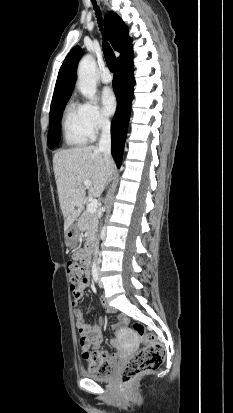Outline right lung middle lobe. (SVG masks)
<instances>
[{
    "label": "right lung middle lobe",
    "instance_id": "obj_1",
    "mask_svg": "<svg viewBox=\"0 0 233 413\" xmlns=\"http://www.w3.org/2000/svg\"><path fill=\"white\" fill-rule=\"evenodd\" d=\"M68 100L69 98L51 104L48 132V146L50 149L54 148L60 141L62 112Z\"/></svg>",
    "mask_w": 233,
    "mask_h": 413
}]
</instances>
